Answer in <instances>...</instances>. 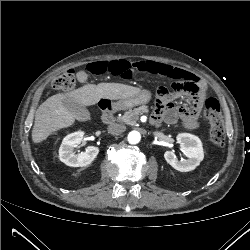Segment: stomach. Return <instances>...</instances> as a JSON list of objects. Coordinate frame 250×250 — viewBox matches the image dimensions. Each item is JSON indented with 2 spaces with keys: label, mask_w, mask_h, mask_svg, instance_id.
Listing matches in <instances>:
<instances>
[{
  "label": "stomach",
  "mask_w": 250,
  "mask_h": 250,
  "mask_svg": "<svg viewBox=\"0 0 250 250\" xmlns=\"http://www.w3.org/2000/svg\"><path fill=\"white\" fill-rule=\"evenodd\" d=\"M150 99L151 93L148 90H142L132 97L119 100L117 105L121 108H131L137 105L147 104Z\"/></svg>",
  "instance_id": "0dacf381"
}]
</instances>
